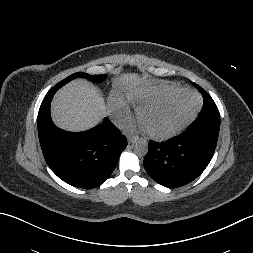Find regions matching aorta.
I'll return each mask as SVG.
<instances>
[{"label": "aorta", "mask_w": 253, "mask_h": 253, "mask_svg": "<svg viewBox=\"0 0 253 253\" xmlns=\"http://www.w3.org/2000/svg\"><path fill=\"white\" fill-rule=\"evenodd\" d=\"M133 150L136 155L145 156L148 152V143L143 139H138L133 144Z\"/></svg>", "instance_id": "762f6f07"}]
</instances>
